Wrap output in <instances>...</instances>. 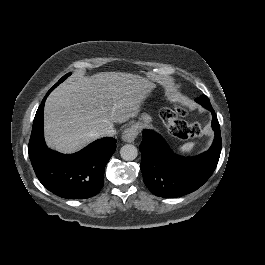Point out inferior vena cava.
<instances>
[{"label":"inferior vena cava","instance_id":"602c4592","mask_svg":"<svg viewBox=\"0 0 265 265\" xmlns=\"http://www.w3.org/2000/svg\"><path fill=\"white\" fill-rule=\"evenodd\" d=\"M115 134H116V131L112 125L107 126L103 131V135L105 137H111V136H114Z\"/></svg>","mask_w":265,"mask_h":265}]
</instances>
